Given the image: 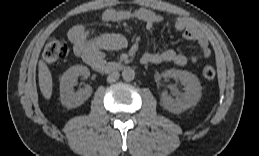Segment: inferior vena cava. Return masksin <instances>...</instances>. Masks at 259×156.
I'll list each match as a JSON object with an SVG mask.
<instances>
[{
    "label": "inferior vena cava",
    "mask_w": 259,
    "mask_h": 156,
    "mask_svg": "<svg viewBox=\"0 0 259 156\" xmlns=\"http://www.w3.org/2000/svg\"><path fill=\"white\" fill-rule=\"evenodd\" d=\"M119 77H120L119 72H118V71H113V72H111V73L108 75L107 81H108L109 83H112V82L117 81V80L119 79Z\"/></svg>",
    "instance_id": "inferior-vena-cava-1"
}]
</instances>
